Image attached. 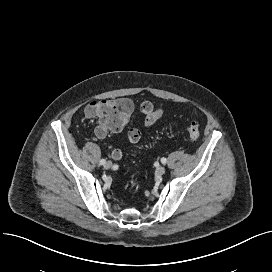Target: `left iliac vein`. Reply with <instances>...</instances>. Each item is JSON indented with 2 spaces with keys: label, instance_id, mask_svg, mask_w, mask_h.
Returning <instances> with one entry per match:
<instances>
[{
  "label": "left iliac vein",
  "instance_id": "4c4485c4",
  "mask_svg": "<svg viewBox=\"0 0 272 272\" xmlns=\"http://www.w3.org/2000/svg\"><path fill=\"white\" fill-rule=\"evenodd\" d=\"M166 169L164 166H157L156 167V174L157 175H163L165 173Z\"/></svg>",
  "mask_w": 272,
  "mask_h": 272
}]
</instances>
